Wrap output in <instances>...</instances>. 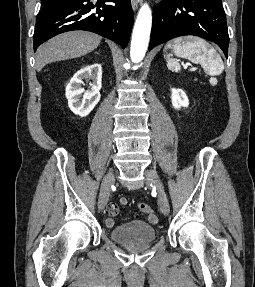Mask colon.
Instances as JSON below:
<instances>
[{"instance_id":"obj_1","label":"colon","mask_w":255,"mask_h":287,"mask_svg":"<svg viewBox=\"0 0 255 287\" xmlns=\"http://www.w3.org/2000/svg\"><path fill=\"white\" fill-rule=\"evenodd\" d=\"M139 208L142 212H144L148 215L155 214L152 207L150 205H148L147 203H144V202L140 203Z\"/></svg>"}]
</instances>
